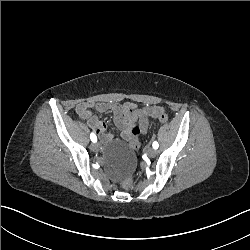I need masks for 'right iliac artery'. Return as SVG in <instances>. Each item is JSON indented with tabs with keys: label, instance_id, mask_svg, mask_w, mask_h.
I'll use <instances>...</instances> for the list:
<instances>
[{
	"label": "right iliac artery",
	"instance_id": "obj_1",
	"mask_svg": "<svg viewBox=\"0 0 250 250\" xmlns=\"http://www.w3.org/2000/svg\"><path fill=\"white\" fill-rule=\"evenodd\" d=\"M90 139H91L92 142H97V137H96V135L94 133L90 134Z\"/></svg>",
	"mask_w": 250,
	"mask_h": 250
}]
</instances>
